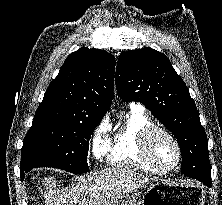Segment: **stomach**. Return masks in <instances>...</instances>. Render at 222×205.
Returning a JSON list of instances; mask_svg holds the SVG:
<instances>
[{
	"mask_svg": "<svg viewBox=\"0 0 222 205\" xmlns=\"http://www.w3.org/2000/svg\"><path fill=\"white\" fill-rule=\"evenodd\" d=\"M204 198L205 191L198 184L160 180L150 184L142 197L134 190L112 199L108 205H204Z\"/></svg>",
	"mask_w": 222,
	"mask_h": 205,
	"instance_id": "stomach-1",
	"label": "stomach"
}]
</instances>
